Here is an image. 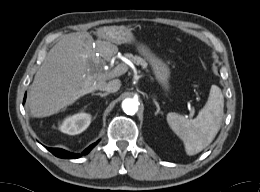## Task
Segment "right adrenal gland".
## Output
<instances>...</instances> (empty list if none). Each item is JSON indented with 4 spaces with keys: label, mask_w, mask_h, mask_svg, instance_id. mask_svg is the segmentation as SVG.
I'll return each instance as SVG.
<instances>
[{
    "label": "right adrenal gland",
    "mask_w": 260,
    "mask_h": 192,
    "mask_svg": "<svg viewBox=\"0 0 260 192\" xmlns=\"http://www.w3.org/2000/svg\"><path fill=\"white\" fill-rule=\"evenodd\" d=\"M92 95H97V96H100V97H105V96H107L108 95V93L107 92H105V93H92Z\"/></svg>",
    "instance_id": "obj_1"
}]
</instances>
